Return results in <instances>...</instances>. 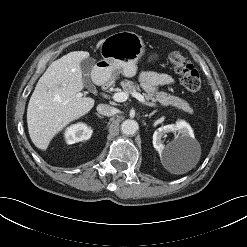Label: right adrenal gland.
I'll return each instance as SVG.
<instances>
[{"label": "right adrenal gland", "mask_w": 247, "mask_h": 247, "mask_svg": "<svg viewBox=\"0 0 247 247\" xmlns=\"http://www.w3.org/2000/svg\"><path fill=\"white\" fill-rule=\"evenodd\" d=\"M95 114L98 116V118H100V119L103 118V116H101L100 114H98V113H95Z\"/></svg>", "instance_id": "obj_1"}]
</instances>
